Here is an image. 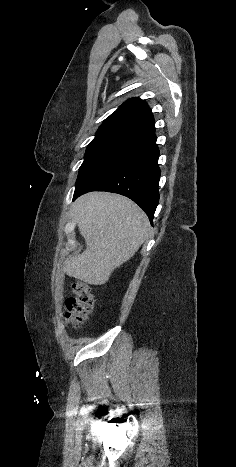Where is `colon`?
<instances>
[{
	"mask_svg": "<svg viewBox=\"0 0 236 467\" xmlns=\"http://www.w3.org/2000/svg\"><path fill=\"white\" fill-rule=\"evenodd\" d=\"M74 296L66 301V320L74 327H80L93 309L94 299L89 284L76 280L72 284Z\"/></svg>",
	"mask_w": 236,
	"mask_h": 467,
	"instance_id": "1",
	"label": "colon"
}]
</instances>
